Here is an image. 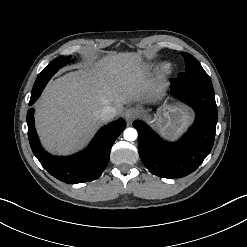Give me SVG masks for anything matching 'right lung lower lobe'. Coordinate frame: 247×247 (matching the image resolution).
I'll list each match as a JSON object with an SVG mask.
<instances>
[{
  "instance_id": "obj_1",
  "label": "right lung lower lobe",
  "mask_w": 247,
  "mask_h": 247,
  "mask_svg": "<svg viewBox=\"0 0 247 247\" xmlns=\"http://www.w3.org/2000/svg\"><path fill=\"white\" fill-rule=\"evenodd\" d=\"M42 91L31 96L29 105L38 99ZM33 112V108L27 112L28 138L33 154L49 174L68 184L88 182L100 177L109 162L114 141L126 127L125 121L119 119L102 128L85 153L57 158L41 147L34 126Z\"/></svg>"
}]
</instances>
